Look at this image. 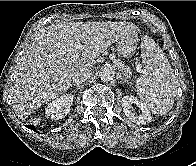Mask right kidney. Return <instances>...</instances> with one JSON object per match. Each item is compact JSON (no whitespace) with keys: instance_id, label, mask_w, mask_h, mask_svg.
Masks as SVG:
<instances>
[{"instance_id":"1","label":"right kidney","mask_w":196,"mask_h":166,"mask_svg":"<svg viewBox=\"0 0 196 166\" xmlns=\"http://www.w3.org/2000/svg\"><path fill=\"white\" fill-rule=\"evenodd\" d=\"M73 98L74 97L72 94H66L58 97L48 104L45 110V114L54 120L64 118L70 111Z\"/></svg>"}]
</instances>
